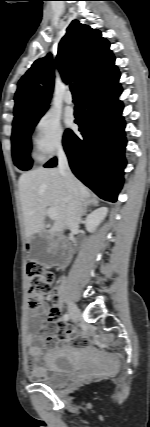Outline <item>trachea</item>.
I'll use <instances>...</instances> for the list:
<instances>
[{"mask_svg":"<svg viewBox=\"0 0 150 427\" xmlns=\"http://www.w3.org/2000/svg\"><path fill=\"white\" fill-rule=\"evenodd\" d=\"M70 89H71V92H72V94L73 95H77V86H76V84L75 83H72L71 85H70Z\"/></svg>","mask_w":150,"mask_h":427,"instance_id":"1","label":"trachea"}]
</instances>
